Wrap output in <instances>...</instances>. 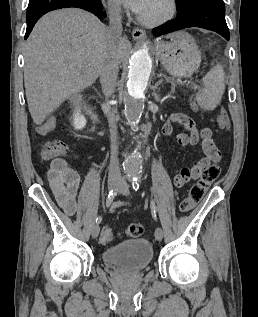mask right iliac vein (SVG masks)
<instances>
[{"label": "right iliac vein", "instance_id": "1", "mask_svg": "<svg viewBox=\"0 0 258 317\" xmlns=\"http://www.w3.org/2000/svg\"><path fill=\"white\" fill-rule=\"evenodd\" d=\"M120 179H109L107 187L109 190L115 189L116 186H120ZM100 227L99 224H94V227L91 229V234L93 237L99 236Z\"/></svg>", "mask_w": 258, "mask_h": 317}]
</instances>
